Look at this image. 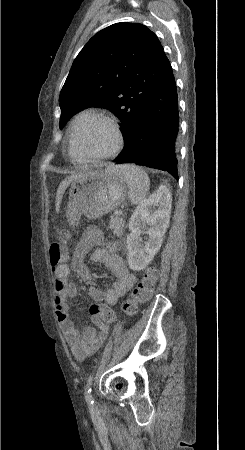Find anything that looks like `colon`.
Masks as SVG:
<instances>
[{
    "label": "colon",
    "mask_w": 245,
    "mask_h": 450,
    "mask_svg": "<svg viewBox=\"0 0 245 450\" xmlns=\"http://www.w3.org/2000/svg\"><path fill=\"white\" fill-rule=\"evenodd\" d=\"M58 241L51 244L49 250L50 264L53 268L63 264L66 252L64 243L66 234L63 230H55ZM157 280V270L154 267H148L144 271L141 281L134 286L130 298L122 304V309L128 315L135 313L137 306L147 303L154 292V286ZM90 314L96 320L111 323L115 321L117 315L114 309L105 303H95L90 308Z\"/></svg>",
    "instance_id": "1"
}]
</instances>
